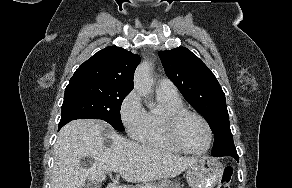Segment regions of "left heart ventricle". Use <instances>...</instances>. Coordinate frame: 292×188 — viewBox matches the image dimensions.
Here are the masks:
<instances>
[{"instance_id": "left-heart-ventricle-1", "label": "left heart ventricle", "mask_w": 292, "mask_h": 188, "mask_svg": "<svg viewBox=\"0 0 292 188\" xmlns=\"http://www.w3.org/2000/svg\"><path fill=\"white\" fill-rule=\"evenodd\" d=\"M179 136L183 144L191 150H203L208 144L207 130L202 121L194 116H188L181 122Z\"/></svg>"}]
</instances>
